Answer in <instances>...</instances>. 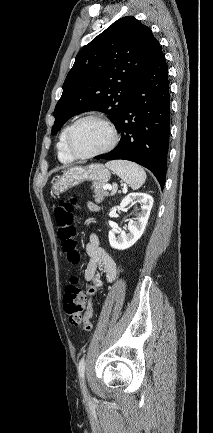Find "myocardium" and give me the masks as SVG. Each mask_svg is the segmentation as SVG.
I'll list each match as a JSON object with an SVG mask.
<instances>
[{"label": "myocardium", "mask_w": 213, "mask_h": 433, "mask_svg": "<svg viewBox=\"0 0 213 433\" xmlns=\"http://www.w3.org/2000/svg\"><path fill=\"white\" fill-rule=\"evenodd\" d=\"M86 120H96V121H99L100 123H102L109 131L110 141L103 149L96 151L94 153H91V154L82 155V154L77 153L75 151V149L73 148L72 135H73L75 128L81 122L86 121ZM118 141H119V135H118V132H117L115 126L105 116L98 114V113H89V114L81 116L80 118L75 120L70 125V127L67 131V135H66V147H67L68 152L74 158L81 159V160L91 159V158L98 157V156H101L103 154L108 153L117 145Z\"/></svg>", "instance_id": "f54148a6"}]
</instances>
